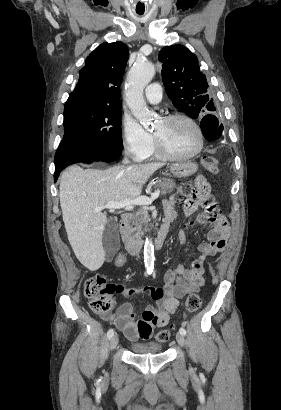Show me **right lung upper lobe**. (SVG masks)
<instances>
[{
  "label": "right lung upper lobe",
  "instance_id": "1",
  "mask_svg": "<svg viewBox=\"0 0 281 410\" xmlns=\"http://www.w3.org/2000/svg\"><path fill=\"white\" fill-rule=\"evenodd\" d=\"M128 60L122 42L102 43L87 57L79 81L65 103L121 108L120 84Z\"/></svg>",
  "mask_w": 281,
  "mask_h": 410
}]
</instances>
